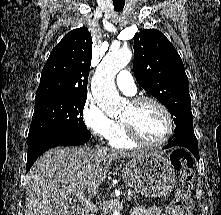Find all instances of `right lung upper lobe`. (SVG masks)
Segmentation results:
<instances>
[{
	"instance_id": "1",
	"label": "right lung upper lobe",
	"mask_w": 221,
	"mask_h": 215,
	"mask_svg": "<svg viewBox=\"0 0 221 215\" xmlns=\"http://www.w3.org/2000/svg\"><path fill=\"white\" fill-rule=\"evenodd\" d=\"M92 38L81 27L66 34L53 48L42 70L36 101L62 95H87Z\"/></svg>"
}]
</instances>
